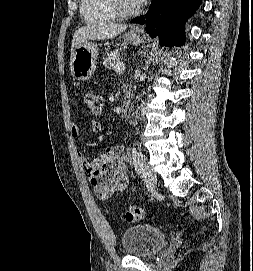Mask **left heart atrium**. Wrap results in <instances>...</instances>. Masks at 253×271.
I'll use <instances>...</instances> for the list:
<instances>
[{"mask_svg": "<svg viewBox=\"0 0 253 271\" xmlns=\"http://www.w3.org/2000/svg\"><path fill=\"white\" fill-rule=\"evenodd\" d=\"M145 1H146V0H136V2H137L138 5L143 4Z\"/></svg>", "mask_w": 253, "mask_h": 271, "instance_id": "1", "label": "left heart atrium"}]
</instances>
